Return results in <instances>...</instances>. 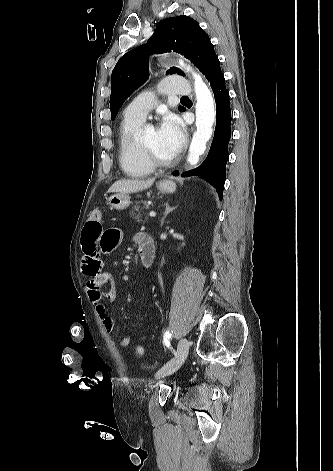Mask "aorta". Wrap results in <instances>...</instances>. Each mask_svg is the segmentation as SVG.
Wrapping results in <instances>:
<instances>
[{
    "mask_svg": "<svg viewBox=\"0 0 333 471\" xmlns=\"http://www.w3.org/2000/svg\"><path fill=\"white\" fill-rule=\"evenodd\" d=\"M180 66L187 72H192L194 77V88L196 95V132L193 135L187 161L190 165H195L199 157L203 155L206 144L211 137L212 127L215 122V108L212 94L208 87L203 83L200 75L192 71L190 66L179 62Z\"/></svg>",
    "mask_w": 333,
    "mask_h": 471,
    "instance_id": "obj_1",
    "label": "aorta"
}]
</instances>
